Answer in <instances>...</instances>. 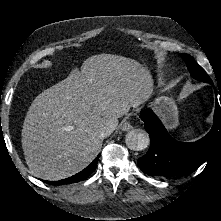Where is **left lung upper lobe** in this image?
I'll list each match as a JSON object with an SVG mask.
<instances>
[{
	"label": "left lung upper lobe",
	"mask_w": 221,
	"mask_h": 221,
	"mask_svg": "<svg viewBox=\"0 0 221 221\" xmlns=\"http://www.w3.org/2000/svg\"><path fill=\"white\" fill-rule=\"evenodd\" d=\"M181 57L186 62L187 67L193 78H195L198 81H203L206 83H210L212 81L210 77L206 74V72L202 69V67H200L196 63L193 57H191L188 54H182Z\"/></svg>",
	"instance_id": "obj_1"
}]
</instances>
